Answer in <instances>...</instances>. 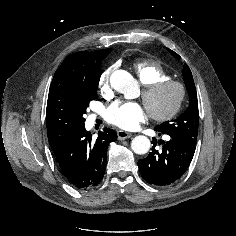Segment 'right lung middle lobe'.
Returning a JSON list of instances; mask_svg holds the SVG:
<instances>
[{
    "mask_svg": "<svg viewBox=\"0 0 236 236\" xmlns=\"http://www.w3.org/2000/svg\"><path fill=\"white\" fill-rule=\"evenodd\" d=\"M111 49L98 50L92 58V65L75 86V102L80 126L84 125L83 115L91 100L97 97V88L101 76L100 64Z\"/></svg>",
    "mask_w": 236,
    "mask_h": 236,
    "instance_id": "obj_1",
    "label": "right lung middle lobe"
}]
</instances>
